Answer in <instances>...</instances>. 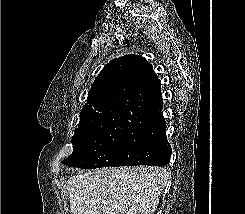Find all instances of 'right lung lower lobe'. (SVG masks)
Here are the masks:
<instances>
[{
	"instance_id": "1",
	"label": "right lung lower lobe",
	"mask_w": 245,
	"mask_h": 214,
	"mask_svg": "<svg viewBox=\"0 0 245 214\" xmlns=\"http://www.w3.org/2000/svg\"><path fill=\"white\" fill-rule=\"evenodd\" d=\"M162 105L161 91L141 99L140 115L128 127V137L117 147V166H165L169 163L172 150L166 137Z\"/></svg>"
}]
</instances>
